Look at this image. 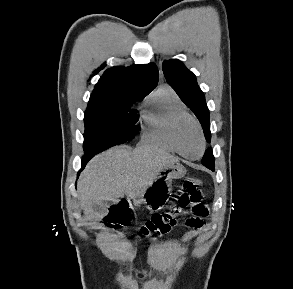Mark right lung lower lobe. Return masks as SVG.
I'll use <instances>...</instances> for the list:
<instances>
[{
	"label": "right lung lower lobe",
	"mask_w": 293,
	"mask_h": 289,
	"mask_svg": "<svg viewBox=\"0 0 293 289\" xmlns=\"http://www.w3.org/2000/svg\"><path fill=\"white\" fill-rule=\"evenodd\" d=\"M91 159L89 156H84L82 159V168L85 166V164Z\"/></svg>",
	"instance_id": "98d812e1"
}]
</instances>
